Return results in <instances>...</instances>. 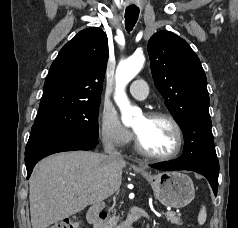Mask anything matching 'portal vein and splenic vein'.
I'll list each match as a JSON object with an SVG mask.
<instances>
[{
  "instance_id": "portal-vein-and-splenic-vein-1",
  "label": "portal vein and splenic vein",
  "mask_w": 238,
  "mask_h": 228,
  "mask_svg": "<svg viewBox=\"0 0 238 228\" xmlns=\"http://www.w3.org/2000/svg\"><path fill=\"white\" fill-rule=\"evenodd\" d=\"M166 215H169V216H174L175 215V212L173 211H167L165 212Z\"/></svg>"
}]
</instances>
